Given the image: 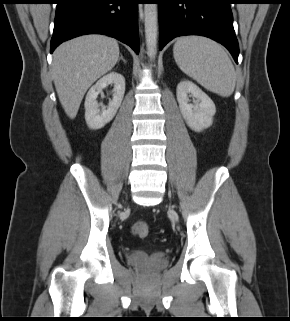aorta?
Wrapping results in <instances>:
<instances>
[{
	"label": "aorta",
	"instance_id": "obj_1",
	"mask_svg": "<svg viewBox=\"0 0 290 321\" xmlns=\"http://www.w3.org/2000/svg\"><path fill=\"white\" fill-rule=\"evenodd\" d=\"M144 16H145V39H146L147 55L150 58V60H153L157 52V35H158L157 4H145Z\"/></svg>",
	"mask_w": 290,
	"mask_h": 321
}]
</instances>
